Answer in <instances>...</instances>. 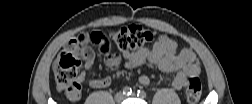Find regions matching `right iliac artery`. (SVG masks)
I'll return each instance as SVG.
<instances>
[{
  "label": "right iliac artery",
  "mask_w": 252,
  "mask_h": 104,
  "mask_svg": "<svg viewBox=\"0 0 252 104\" xmlns=\"http://www.w3.org/2000/svg\"><path fill=\"white\" fill-rule=\"evenodd\" d=\"M131 93H132V89L130 87L127 86V87L123 88L124 95L129 96V95H131Z\"/></svg>",
  "instance_id": "1"
}]
</instances>
